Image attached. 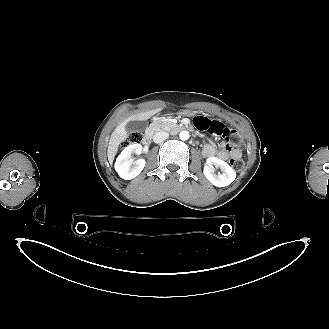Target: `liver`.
<instances>
[{"label": "liver", "instance_id": "obj_1", "mask_svg": "<svg viewBox=\"0 0 329 329\" xmlns=\"http://www.w3.org/2000/svg\"><path fill=\"white\" fill-rule=\"evenodd\" d=\"M162 108H156L145 112L133 114L122 121L111 134L109 145L107 149V157L110 164L113 163L115 155L118 151L119 144L128 137V133L125 129L126 124L131 120L146 121L156 113L160 112Z\"/></svg>", "mask_w": 329, "mask_h": 329}]
</instances>
